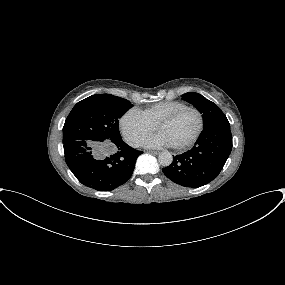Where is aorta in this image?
<instances>
[{
	"label": "aorta",
	"instance_id": "obj_1",
	"mask_svg": "<svg viewBox=\"0 0 285 285\" xmlns=\"http://www.w3.org/2000/svg\"><path fill=\"white\" fill-rule=\"evenodd\" d=\"M158 161H159L160 165L167 167V166L171 165V163L173 161V156L170 152L164 151V152H161L159 154Z\"/></svg>",
	"mask_w": 285,
	"mask_h": 285
}]
</instances>
